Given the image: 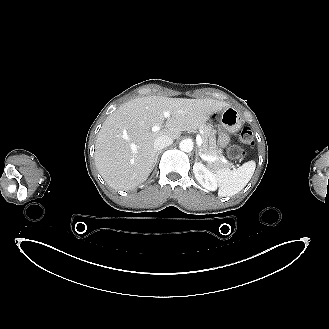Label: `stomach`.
I'll use <instances>...</instances> for the list:
<instances>
[{"instance_id": "0dacf381", "label": "stomach", "mask_w": 329, "mask_h": 329, "mask_svg": "<svg viewBox=\"0 0 329 329\" xmlns=\"http://www.w3.org/2000/svg\"><path fill=\"white\" fill-rule=\"evenodd\" d=\"M210 118H217L230 133L238 131L243 122L240 112L231 106L215 111Z\"/></svg>"}]
</instances>
